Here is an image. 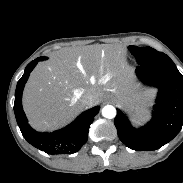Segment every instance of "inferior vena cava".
Listing matches in <instances>:
<instances>
[{
    "mask_svg": "<svg viewBox=\"0 0 183 183\" xmlns=\"http://www.w3.org/2000/svg\"><path fill=\"white\" fill-rule=\"evenodd\" d=\"M80 100L83 105L91 106L94 103L95 95L90 91H86L81 94Z\"/></svg>",
    "mask_w": 183,
    "mask_h": 183,
    "instance_id": "obj_1",
    "label": "inferior vena cava"
}]
</instances>
